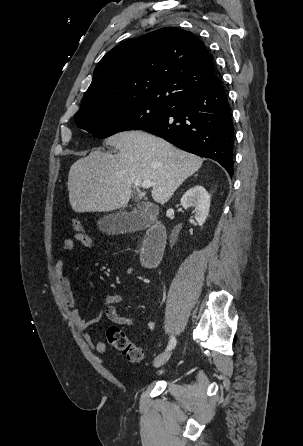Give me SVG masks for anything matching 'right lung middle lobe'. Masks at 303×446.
<instances>
[{
    "label": "right lung middle lobe",
    "mask_w": 303,
    "mask_h": 446,
    "mask_svg": "<svg viewBox=\"0 0 303 446\" xmlns=\"http://www.w3.org/2000/svg\"><path fill=\"white\" fill-rule=\"evenodd\" d=\"M172 106L132 101L99 106L75 114V122L94 136L105 138L120 131L141 130Z\"/></svg>",
    "instance_id": "obj_1"
}]
</instances>
